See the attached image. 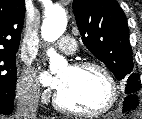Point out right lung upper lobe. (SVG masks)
<instances>
[{
  "mask_svg": "<svg viewBox=\"0 0 142 119\" xmlns=\"http://www.w3.org/2000/svg\"><path fill=\"white\" fill-rule=\"evenodd\" d=\"M24 17V0H0V50H18Z\"/></svg>",
  "mask_w": 142,
  "mask_h": 119,
  "instance_id": "obj_1",
  "label": "right lung upper lobe"
}]
</instances>
